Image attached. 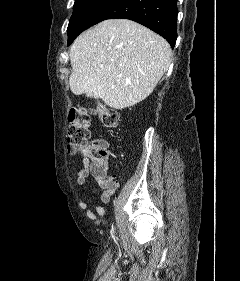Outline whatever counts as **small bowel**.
Here are the masks:
<instances>
[{
	"instance_id": "c3829d8e",
	"label": "small bowel",
	"mask_w": 240,
	"mask_h": 281,
	"mask_svg": "<svg viewBox=\"0 0 240 281\" xmlns=\"http://www.w3.org/2000/svg\"><path fill=\"white\" fill-rule=\"evenodd\" d=\"M83 163L84 168L76 173L77 184L84 185L87 182V179L91 177V179L103 190L100 196L101 202L104 204H108L110 202L111 196L117 189V183L114 180L108 178L106 176V173L103 175L95 173L90 168V161L87 158L83 159ZM79 207L88 211V217L91 220H96V214L99 216L105 215V211L101 206L90 207L87 202L81 201L79 203Z\"/></svg>"
}]
</instances>
